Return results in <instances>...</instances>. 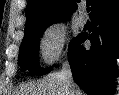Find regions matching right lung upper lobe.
<instances>
[{
  "label": "right lung upper lobe",
  "instance_id": "right-lung-upper-lobe-1",
  "mask_svg": "<svg viewBox=\"0 0 119 95\" xmlns=\"http://www.w3.org/2000/svg\"><path fill=\"white\" fill-rule=\"evenodd\" d=\"M80 0H29L25 33L41 25L66 20ZM91 20L119 7V0H90Z\"/></svg>",
  "mask_w": 119,
  "mask_h": 95
}]
</instances>
